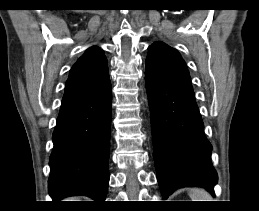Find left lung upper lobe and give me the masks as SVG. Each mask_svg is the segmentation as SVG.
I'll list each match as a JSON object with an SVG mask.
<instances>
[{"label": "left lung upper lobe", "mask_w": 259, "mask_h": 211, "mask_svg": "<svg viewBox=\"0 0 259 211\" xmlns=\"http://www.w3.org/2000/svg\"><path fill=\"white\" fill-rule=\"evenodd\" d=\"M145 77L166 87L193 91L184 60L177 50L160 41L149 46Z\"/></svg>", "instance_id": "obj_1"}]
</instances>
